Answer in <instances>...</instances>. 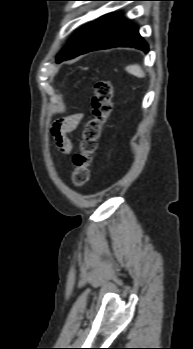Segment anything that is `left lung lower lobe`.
<instances>
[{
  "label": "left lung lower lobe",
  "mask_w": 193,
  "mask_h": 349,
  "mask_svg": "<svg viewBox=\"0 0 193 349\" xmlns=\"http://www.w3.org/2000/svg\"><path fill=\"white\" fill-rule=\"evenodd\" d=\"M112 47H136L148 52V45L138 28L121 16L107 14L94 21L75 46L58 57L57 62L74 58L89 51Z\"/></svg>",
  "instance_id": "obj_1"
}]
</instances>
